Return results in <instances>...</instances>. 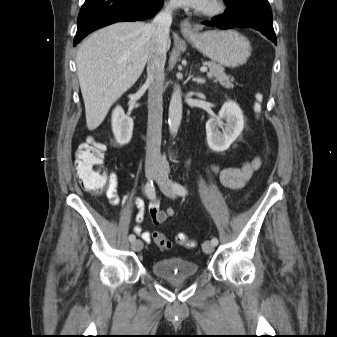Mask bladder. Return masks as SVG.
<instances>
[{
  "instance_id": "obj_1",
  "label": "bladder",
  "mask_w": 337,
  "mask_h": 337,
  "mask_svg": "<svg viewBox=\"0 0 337 337\" xmlns=\"http://www.w3.org/2000/svg\"><path fill=\"white\" fill-rule=\"evenodd\" d=\"M151 270L160 278H188L198 274L199 265L182 257H171L155 260Z\"/></svg>"
}]
</instances>
